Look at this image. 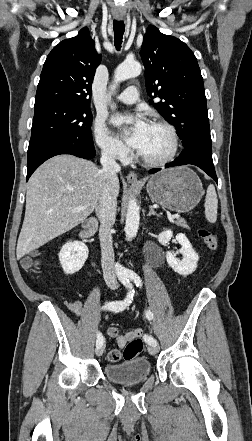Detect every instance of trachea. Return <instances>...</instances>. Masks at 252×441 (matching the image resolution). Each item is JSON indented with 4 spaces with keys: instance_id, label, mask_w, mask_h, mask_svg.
Returning a JSON list of instances; mask_svg holds the SVG:
<instances>
[{
    "instance_id": "trachea-1",
    "label": "trachea",
    "mask_w": 252,
    "mask_h": 441,
    "mask_svg": "<svg viewBox=\"0 0 252 441\" xmlns=\"http://www.w3.org/2000/svg\"><path fill=\"white\" fill-rule=\"evenodd\" d=\"M114 29V44L116 49L119 51L122 44L123 34L125 31V24L123 21H114L113 22Z\"/></svg>"
}]
</instances>
